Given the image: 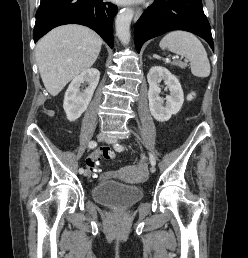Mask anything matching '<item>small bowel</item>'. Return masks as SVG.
I'll return each mask as SVG.
<instances>
[{"instance_id":"1","label":"small bowel","mask_w":248,"mask_h":258,"mask_svg":"<svg viewBox=\"0 0 248 258\" xmlns=\"http://www.w3.org/2000/svg\"><path fill=\"white\" fill-rule=\"evenodd\" d=\"M118 174L117 173H111L109 174V177H112V178H117ZM93 177H96V175H93Z\"/></svg>"}]
</instances>
